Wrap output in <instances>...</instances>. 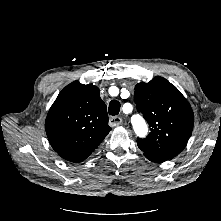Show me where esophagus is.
Wrapping results in <instances>:
<instances>
[{
  "label": "esophagus",
  "instance_id": "34e87169",
  "mask_svg": "<svg viewBox=\"0 0 221 221\" xmlns=\"http://www.w3.org/2000/svg\"><path fill=\"white\" fill-rule=\"evenodd\" d=\"M109 121H110V124H111L112 126H119V125L122 124L123 119H122V117H120V116H113V117L110 118Z\"/></svg>",
  "mask_w": 221,
  "mask_h": 221
}]
</instances>
